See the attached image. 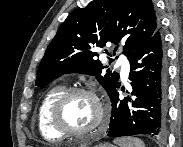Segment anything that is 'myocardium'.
I'll use <instances>...</instances> for the list:
<instances>
[{
    "label": "myocardium",
    "instance_id": "1",
    "mask_svg": "<svg viewBox=\"0 0 183 147\" xmlns=\"http://www.w3.org/2000/svg\"><path fill=\"white\" fill-rule=\"evenodd\" d=\"M77 95H85V96L90 97L93 100V102L96 106V111H97V116H96L94 123L92 125H90L89 127L85 128V129H81V130H76V129L70 128L68 126V124L66 123V121L64 119V115H63L64 108H65L67 102L71 98H73L74 96H77ZM105 116H106V112H105L104 105H103L101 99L99 98V96L96 94V92H94L91 89L77 87V88H71V89L65 91L56 100V102L54 103V105L52 107V111H51V122L55 129H57L59 132L65 134V135L83 136V135H86L88 133L95 131L104 121Z\"/></svg>",
    "mask_w": 183,
    "mask_h": 147
}]
</instances>
